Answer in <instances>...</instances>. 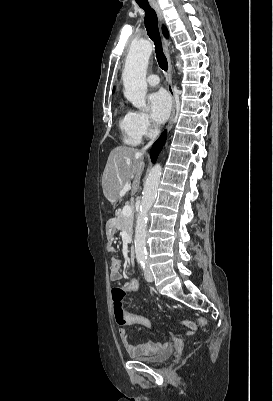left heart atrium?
<instances>
[{"label":"left heart atrium","instance_id":"39dd6f15","mask_svg":"<svg viewBox=\"0 0 273 401\" xmlns=\"http://www.w3.org/2000/svg\"><path fill=\"white\" fill-rule=\"evenodd\" d=\"M150 117L157 123H164L170 113L171 104L166 94L162 92L152 93L147 98Z\"/></svg>","mask_w":273,"mask_h":401}]
</instances>
